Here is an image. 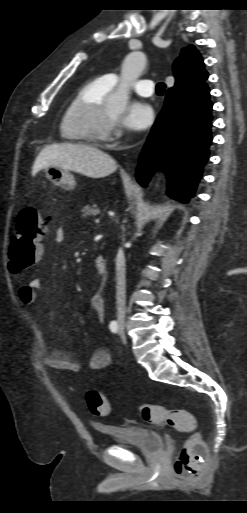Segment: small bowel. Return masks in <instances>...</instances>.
<instances>
[{
  "label": "small bowel",
  "instance_id": "c3829d8e",
  "mask_svg": "<svg viewBox=\"0 0 247 513\" xmlns=\"http://www.w3.org/2000/svg\"><path fill=\"white\" fill-rule=\"evenodd\" d=\"M53 239L55 243H62L65 239L64 229L59 227L54 231ZM42 249V246H41ZM43 289L42 281L39 278L31 279L26 285L20 286L18 296L20 301L30 306L36 300V294ZM89 305L94 311L99 322L105 320V305L100 293H92L89 298ZM43 363L55 370L77 372L80 370L79 362L70 352H65L56 348H48L42 354ZM111 364V355L105 348L95 350L89 358V368L92 370H102Z\"/></svg>",
  "mask_w": 247,
  "mask_h": 513
}]
</instances>
